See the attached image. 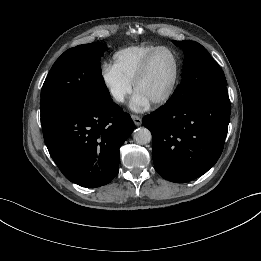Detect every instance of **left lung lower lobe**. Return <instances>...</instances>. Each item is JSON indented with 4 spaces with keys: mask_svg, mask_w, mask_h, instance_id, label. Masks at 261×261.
<instances>
[{
    "mask_svg": "<svg viewBox=\"0 0 261 261\" xmlns=\"http://www.w3.org/2000/svg\"><path fill=\"white\" fill-rule=\"evenodd\" d=\"M229 121L226 87L203 92L184 104L167 101L142 120L152 133L155 170L177 183L203 175L222 153Z\"/></svg>",
    "mask_w": 261,
    "mask_h": 261,
    "instance_id": "obj_1",
    "label": "left lung lower lobe"
}]
</instances>
